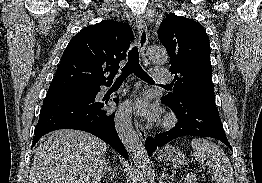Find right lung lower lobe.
<instances>
[{
	"instance_id": "obj_1",
	"label": "right lung lower lobe",
	"mask_w": 262,
	"mask_h": 183,
	"mask_svg": "<svg viewBox=\"0 0 262 183\" xmlns=\"http://www.w3.org/2000/svg\"><path fill=\"white\" fill-rule=\"evenodd\" d=\"M92 85L67 90H49L34 130L32 147L46 133L58 129H76L89 132L112 146L124 158L127 151L114 125V113H109L106 102L96 99L100 86ZM118 103L119 99H113Z\"/></svg>"
}]
</instances>
